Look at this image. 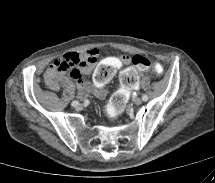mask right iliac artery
Segmentation results:
<instances>
[{
	"mask_svg": "<svg viewBox=\"0 0 215 183\" xmlns=\"http://www.w3.org/2000/svg\"><path fill=\"white\" fill-rule=\"evenodd\" d=\"M78 104H79L78 101H73V102L71 103V105H72L73 107L77 106Z\"/></svg>",
	"mask_w": 215,
	"mask_h": 183,
	"instance_id": "1",
	"label": "right iliac artery"
}]
</instances>
